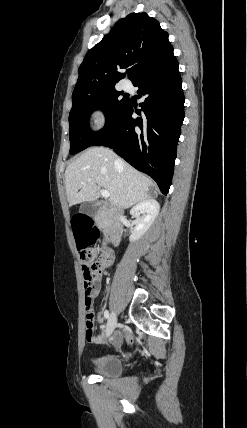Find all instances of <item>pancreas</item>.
I'll return each instance as SVG.
<instances>
[{"instance_id": "obj_1", "label": "pancreas", "mask_w": 247, "mask_h": 428, "mask_svg": "<svg viewBox=\"0 0 247 428\" xmlns=\"http://www.w3.org/2000/svg\"><path fill=\"white\" fill-rule=\"evenodd\" d=\"M98 222H99V224H100V225H102V224H103V222H102L101 220H98ZM102 227H103V228H105V226H104V225H103Z\"/></svg>"}]
</instances>
